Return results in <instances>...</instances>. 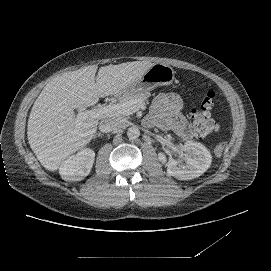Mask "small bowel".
Segmentation results:
<instances>
[{
    "mask_svg": "<svg viewBox=\"0 0 271 271\" xmlns=\"http://www.w3.org/2000/svg\"><path fill=\"white\" fill-rule=\"evenodd\" d=\"M163 123L184 139L192 137L191 128L184 118L181 98L176 94H160L154 103Z\"/></svg>",
    "mask_w": 271,
    "mask_h": 271,
    "instance_id": "small-bowel-1",
    "label": "small bowel"
}]
</instances>
